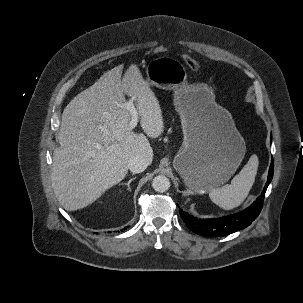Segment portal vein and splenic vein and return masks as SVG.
I'll return each mask as SVG.
<instances>
[{"label": "portal vein and splenic vein", "instance_id": "18ae733b", "mask_svg": "<svg viewBox=\"0 0 303 303\" xmlns=\"http://www.w3.org/2000/svg\"><path fill=\"white\" fill-rule=\"evenodd\" d=\"M125 107L130 112V114L132 116L131 121L129 123V130H132L137 126V123L139 121L138 112H137V109L135 108V106L133 104V100H130L129 102H127L125 104ZM97 148H101V146L97 145Z\"/></svg>", "mask_w": 303, "mask_h": 303}]
</instances>
